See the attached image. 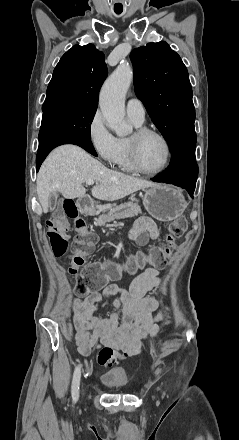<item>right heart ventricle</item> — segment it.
I'll use <instances>...</instances> for the list:
<instances>
[{
    "instance_id": "right-heart-ventricle-1",
    "label": "right heart ventricle",
    "mask_w": 239,
    "mask_h": 440,
    "mask_svg": "<svg viewBox=\"0 0 239 440\" xmlns=\"http://www.w3.org/2000/svg\"><path fill=\"white\" fill-rule=\"evenodd\" d=\"M121 142V152L119 155V158L116 162V165L119 169L125 172H134L129 157V151H128V142L127 139H120Z\"/></svg>"
}]
</instances>
